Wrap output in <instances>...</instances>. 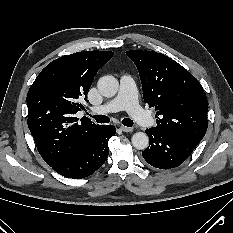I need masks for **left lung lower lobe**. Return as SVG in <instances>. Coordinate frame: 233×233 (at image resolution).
Returning a JSON list of instances; mask_svg holds the SVG:
<instances>
[{
	"label": "left lung lower lobe",
	"instance_id": "obj_1",
	"mask_svg": "<svg viewBox=\"0 0 233 233\" xmlns=\"http://www.w3.org/2000/svg\"><path fill=\"white\" fill-rule=\"evenodd\" d=\"M150 139L143 158L153 167L170 169L182 164L193 152L199 142L184 136L164 132L155 128L147 129Z\"/></svg>",
	"mask_w": 233,
	"mask_h": 233
}]
</instances>
